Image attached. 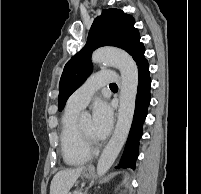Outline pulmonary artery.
<instances>
[{"instance_id":"pulmonary-artery-1","label":"pulmonary artery","mask_w":201,"mask_h":194,"mask_svg":"<svg viewBox=\"0 0 201 194\" xmlns=\"http://www.w3.org/2000/svg\"><path fill=\"white\" fill-rule=\"evenodd\" d=\"M118 76L113 71H101L91 75L68 99L67 105L83 109L94 93L102 86L116 82Z\"/></svg>"}]
</instances>
